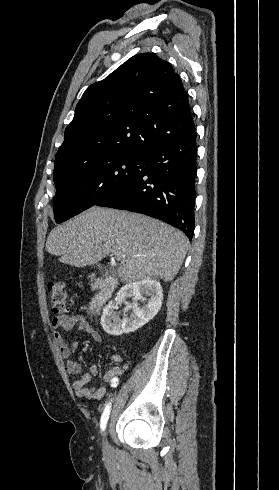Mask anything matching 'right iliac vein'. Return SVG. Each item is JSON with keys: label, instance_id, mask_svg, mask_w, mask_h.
Here are the masks:
<instances>
[{"label": "right iliac vein", "instance_id": "1", "mask_svg": "<svg viewBox=\"0 0 279 490\" xmlns=\"http://www.w3.org/2000/svg\"><path fill=\"white\" fill-rule=\"evenodd\" d=\"M112 401H114V400L112 399ZM106 437H107V432L104 433V439H103V445L102 446H103V452L105 453L106 457L109 458L111 451H110L109 442H108Z\"/></svg>", "mask_w": 279, "mask_h": 490}]
</instances>
